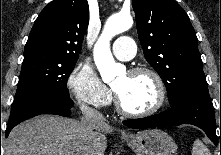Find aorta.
<instances>
[{"label": "aorta", "mask_w": 221, "mask_h": 155, "mask_svg": "<svg viewBox=\"0 0 221 155\" xmlns=\"http://www.w3.org/2000/svg\"><path fill=\"white\" fill-rule=\"evenodd\" d=\"M132 25L133 19L130 15L117 14L111 16L107 20L102 34L94 46V61L105 83L111 82L121 67L115 62L112 56L110 40L114 36L129 30Z\"/></svg>", "instance_id": "762f6f07"}]
</instances>
